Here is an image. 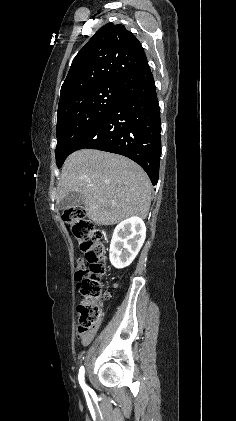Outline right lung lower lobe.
<instances>
[{
  "mask_svg": "<svg viewBox=\"0 0 236 421\" xmlns=\"http://www.w3.org/2000/svg\"><path fill=\"white\" fill-rule=\"evenodd\" d=\"M122 98L76 143L73 152L98 149L138 163L155 185L161 155V119L156 86L148 63L119 83Z\"/></svg>",
  "mask_w": 236,
  "mask_h": 421,
  "instance_id": "obj_1",
  "label": "right lung lower lobe"
}]
</instances>
